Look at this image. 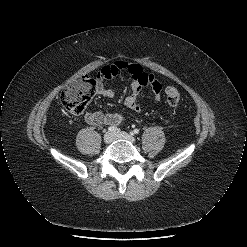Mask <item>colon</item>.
I'll list each match as a JSON object with an SVG mask.
<instances>
[{
  "label": "colon",
  "mask_w": 247,
  "mask_h": 247,
  "mask_svg": "<svg viewBox=\"0 0 247 247\" xmlns=\"http://www.w3.org/2000/svg\"><path fill=\"white\" fill-rule=\"evenodd\" d=\"M96 92V82L89 77H82L71 82L59 95L62 107L71 114H82ZM167 102L171 106H177L181 102V94L176 86H168L165 89Z\"/></svg>",
  "instance_id": "5ec220e1"
}]
</instances>
